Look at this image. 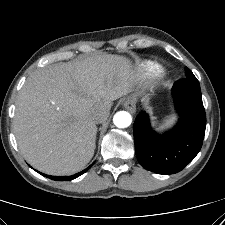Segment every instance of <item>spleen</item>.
Listing matches in <instances>:
<instances>
[{"label":"spleen","mask_w":225,"mask_h":225,"mask_svg":"<svg viewBox=\"0 0 225 225\" xmlns=\"http://www.w3.org/2000/svg\"><path fill=\"white\" fill-rule=\"evenodd\" d=\"M175 120H176V117H175V116H171V117L165 119L164 125H163V126L166 127V128H168V127H170L172 124H174Z\"/></svg>","instance_id":"1"}]
</instances>
